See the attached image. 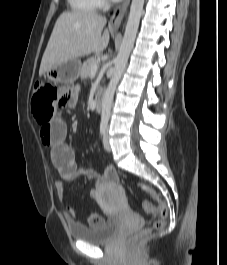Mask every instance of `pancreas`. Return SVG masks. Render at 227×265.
Returning <instances> with one entry per match:
<instances>
[{
    "instance_id": "1",
    "label": "pancreas",
    "mask_w": 227,
    "mask_h": 265,
    "mask_svg": "<svg viewBox=\"0 0 227 265\" xmlns=\"http://www.w3.org/2000/svg\"><path fill=\"white\" fill-rule=\"evenodd\" d=\"M99 59L94 56L87 59L81 66L80 76L82 79H86L91 75V67L93 65H98Z\"/></svg>"
}]
</instances>
